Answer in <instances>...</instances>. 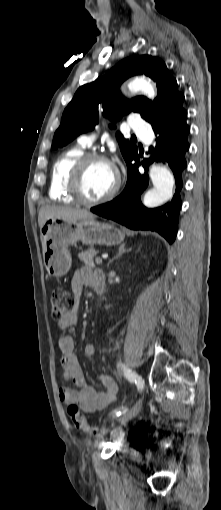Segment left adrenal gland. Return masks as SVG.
<instances>
[{
    "mask_svg": "<svg viewBox=\"0 0 221 510\" xmlns=\"http://www.w3.org/2000/svg\"><path fill=\"white\" fill-rule=\"evenodd\" d=\"M125 245H126V244L124 243V244H122V245H120V246H119V249H118V253H117V255H116L115 257H113V258H112V259L108 262L107 267H109V265H110V264H111L114 260L118 259V258H119L120 256H122L124 253L131 251V248H130V249H126V248H125Z\"/></svg>",
    "mask_w": 221,
    "mask_h": 510,
    "instance_id": "left-adrenal-gland-1",
    "label": "left adrenal gland"
}]
</instances>
